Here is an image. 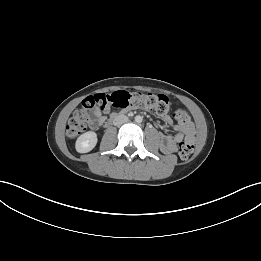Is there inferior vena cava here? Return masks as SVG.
Returning a JSON list of instances; mask_svg holds the SVG:
<instances>
[{
    "label": "inferior vena cava",
    "mask_w": 261,
    "mask_h": 261,
    "mask_svg": "<svg viewBox=\"0 0 261 261\" xmlns=\"http://www.w3.org/2000/svg\"><path fill=\"white\" fill-rule=\"evenodd\" d=\"M128 121V117L125 116V115H119L117 116L114 121H113V124L115 126H119V125H122L124 123H126Z\"/></svg>",
    "instance_id": "inferior-vena-cava-1"
}]
</instances>
